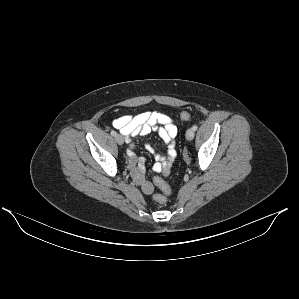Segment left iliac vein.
Returning a JSON list of instances; mask_svg holds the SVG:
<instances>
[{
    "instance_id": "obj_1",
    "label": "left iliac vein",
    "mask_w": 299,
    "mask_h": 299,
    "mask_svg": "<svg viewBox=\"0 0 299 299\" xmlns=\"http://www.w3.org/2000/svg\"><path fill=\"white\" fill-rule=\"evenodd\" d=\"M194 130L192 128H189L187 131H186V139L187 140H192L194 138Z\"/></svg>"
}]
</instances>
